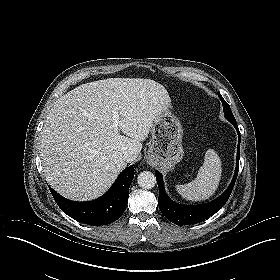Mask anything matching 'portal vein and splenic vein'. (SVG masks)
Instances as JSON below:
<instances>
[{
  "mask_svg": "<svg viewBox=\"0 0 280 280\" xmlns=\"http://www.w3.org/2000/svg\"><path fill=\"white\" fill-rule=\"evenodd\" d=\"M119 124V115L114 112L113 114V126L117 129Z\"/></svg>",
  "mask_w": 280,
  "mask_h": 280,
  "instance_id": "18ae733b",
  "label": "portal vein and splenic vein"
}]
</instances>
